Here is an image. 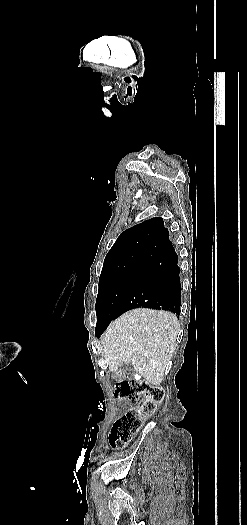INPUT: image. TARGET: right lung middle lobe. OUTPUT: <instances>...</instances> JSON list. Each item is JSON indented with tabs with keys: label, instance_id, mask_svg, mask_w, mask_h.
<instances>
[{
	"label": "right lung middle lobe",
	"instance_id": "obj_1",
	"mask_svg": "<svg viewBox=\"0 0 247 525\" xmlns=\"http://www.w3.org/2000/svg\"><path fill=\"white\" fill-rule=\"evenodd\" d=\"M153 259L154 256H148L130 268L101 272L95 305L97 314L96 326L105 325L107 327L111 320L118 317L117 310L121 302L152 263Z\"/></svg>",
	"mask_w": 247,
	"mask_h": 525
}]
</instances>
